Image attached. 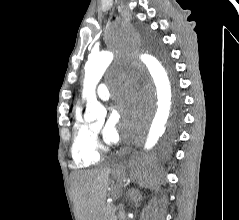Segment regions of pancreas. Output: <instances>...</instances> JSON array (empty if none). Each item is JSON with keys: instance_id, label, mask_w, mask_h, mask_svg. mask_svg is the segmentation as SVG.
<instances>
[{"instance_id": "pancreas-1", "label": "pancreas", "mask_w": 239, "mask_h": 220, "mask_svg": "<svg viewBox=\"0 0 239 220\" xmlns=\"http://www.w3.org/2000/svg\"><path fill=\"white\" fill-rule=\"evenodd\" d=\"M103 220H117L115 212L113 211L112 205H107L103 211Z\"/></svg>"}]
</instances>
